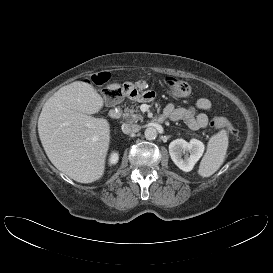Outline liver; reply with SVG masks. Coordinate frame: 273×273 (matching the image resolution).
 Segmentation results:
<instances>
[{"label": "liver", "instance_id": "liver-1", "mask_svg": "<svg viewBox=\"0 0 273 273\" xmlns=\"http://www.w3.org/2000/svg\"><path fill=\"white\" fill-rule=\"evenodd\" d=\"M119 83L107 85L117 90ZM104 105L92 85L75 81L60 88L44 104L38 133L51 163L80 183H92L105 171L110 144V125L91 116Z\"/></svg>", "mask_w": 273, "mask_h": 273}]
</instances>
